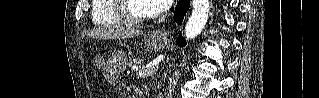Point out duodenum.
<instances>
[{
	"label": "duodenum",
	"instance_id": "1",
	"mask_svg": "<svg viewBox=\"0 0 319 98\" xmlns=\"http://www.w3.org/2000/svg\"><path fill=\"white\" fill-rule=\"evenodd\" d=\"M136 94L138 98H145L138 90H136Z\"/></svg>",
	"mask_w": 319,
	"mask_h": 98
}]
</instances>
